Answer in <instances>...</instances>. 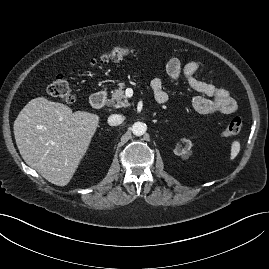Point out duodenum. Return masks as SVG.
I'll return each mask as SVG.
<instances>
[{
    "label": "duodenum",
    "mask_w": 269,
    "mask_h": 269,
    "mask_svg": "<svg viewBox=\"0 0 269 269\" xmlns=\"http://www.w3.org/2000/svg\"><path fill=\"white\" fill-rule=\"evenodd\" d=\"M106 99H107L106 93L104 91H98L91 95L90 103L93 108L101 109L105 105ZM158 103L162 104L164 103V101L160 100L158 101Z\"/></svg>",
    "instance_id": "obj_1"
}]
</instances>
